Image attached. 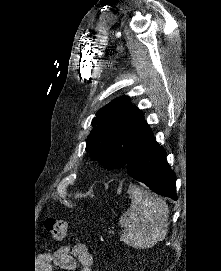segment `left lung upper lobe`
I'll list each match as a JSON object with an SVG mask.
<instances>
[{
	"instance_id": "obj_1",
	"label": "left lung upper lobe",
	"mask_w": 221,
	"mask_h": 271,
	"mask_svg": "<svg viewBox=\"0 0 221 271\" xmlns=\"http://www.w3.org/2000/svg\"><path fill=\"white\" fill-rule=\"evenodd\" d=\"M92 126L86 151L109 170L125 167L131 153L152 134L143 113L130 104L127 96L101 108Z\"/></svg>"
}]
</instances>
